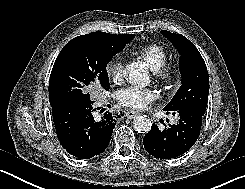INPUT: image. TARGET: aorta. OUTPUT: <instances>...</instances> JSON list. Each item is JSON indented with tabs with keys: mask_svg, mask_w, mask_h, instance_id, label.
<instances>
[{
	"mask_svg": "<svg viewBox=\"0 0 245 189\" xmlns=\"http://www.w3.org/2000/svg\"><path fill=\"white\" fill-rule=\"evenodd\" d=\"M123 76L129 83L145 87L150 83L149 72L137 62L127 64L123 70ZM134 130L138 133H148L151 130L152 122L146 115L136 116L133 120Z\"/></svg>",
	"mask_w": 245,
	"mask_h": 189,
	"instance_id": "obj_1",
	"label": "aorta"
}]
</instances>
